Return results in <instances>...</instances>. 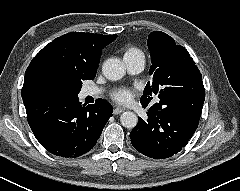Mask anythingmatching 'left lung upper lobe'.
I'll return each mask as SVG.
<instances>
[{
    "label": "left lung upper lobe",
    "instance_id": "5c2ea615",
    "mask_svg": "<svg viewBox=\"0 0 240 191\" xmlns=\"http://www.w3.org/2000/svg\"><path fill=\"white\" fill-rule=\"evenodd\" d=\"M147 45L152 60V79L144 89L141 103L148 104L155 95L159 102L170 101L184 94L196 80L202 81L190 54L166 33L152 32Z\"/></svg>",
    "mask_w": 240,
    "mask_h": 191
}]
</instances>
